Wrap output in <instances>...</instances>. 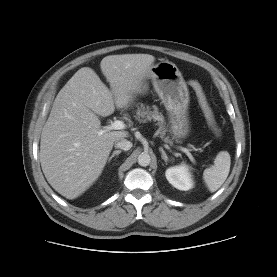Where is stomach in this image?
<instances>
[{
	"mask_svg": "<svg viewBox=\"0 0 277 277\" xmlns=\"http://www.w3.org/2000/svg\"><path fill=\"white\" fill-rule=\"evenodd\" d=\"M149 79L168 111L170 132L174 138H184L189 132V92L181 72L173 62L161 60L151 66L138 84L136 94L147 92Z\"/></svg>",
	"mask_w": 277,
	"mask_h": 277,
	"instance_id": "1",
	"label": "stomach"
}]
</instances>
